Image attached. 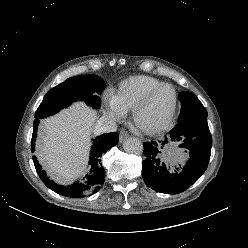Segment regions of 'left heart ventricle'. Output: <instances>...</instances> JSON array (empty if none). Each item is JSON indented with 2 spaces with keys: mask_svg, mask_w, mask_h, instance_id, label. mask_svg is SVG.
<instances>
[{
  "mask_svg": "<svg viewBox=\"0 0 248 248\" xmlns=\"http://www.w3.org/2000/svg\"><path fill=\"white\" fill-rule=\"evenodd\" d=\"M173 92L170 88H162L150 100L141 112L138 122L145 128H154L163 124L171 111Z\"/></svg>",
  "mask_w": 248,
  "mask_h": 248,
  "instance_id": "1",
  "label": "left heart ventricle"
}]
</instances>
